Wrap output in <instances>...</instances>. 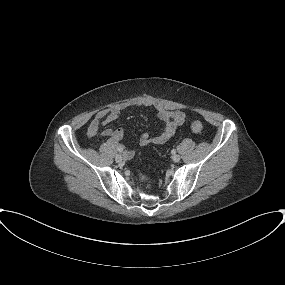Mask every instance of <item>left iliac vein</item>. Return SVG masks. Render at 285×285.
<instances>
[{
  "instance_id": "obj_1",
  "label": "left iliac vein",
  "mask_w": 285,
  "mask_h": 285,
  "mask_svg": "<svg viewBox=\"0 0 285 285\" xmlns=\"http://www.w3.org/2000/svg\"><path fill=\"white\" fill-rule=\"evenodd\" d=\"M172 159H173V161H174L175 163H177V162L180 161L181 157H180L179 155H177V154H174V155L172 156Z\"/></svg>"
}]
</instances>
